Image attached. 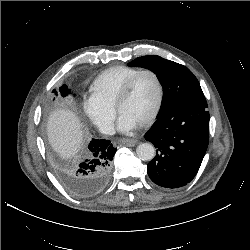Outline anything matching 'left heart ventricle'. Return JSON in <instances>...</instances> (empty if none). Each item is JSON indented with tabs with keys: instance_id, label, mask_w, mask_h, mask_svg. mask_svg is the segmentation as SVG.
I'll return each instance as SVG.
<instances>
[{
	"instance_id": "b2bd125f",
	"label": "left heart ventricle",
	"mask_w": 250,
	"mask_h": 250,
	"mask_svg": "<svg viewBox=\"0 0 250 250\" xmlns=\"http://www.w3.org/2000/svg\"><path fill=\"white\" fill-rule=\"evenodd\" d=\"M156 103L155 79L150 74H143L136 80L128 99L120 107V115L138 126L151 115Z\"/></svg>"
}]
</instances>
